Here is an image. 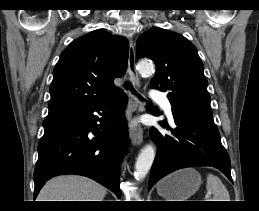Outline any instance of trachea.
I'll return each instance as SVG.
<instances>
[{
    "mask_svg": "<svg viewBox=\"0 0 259 211\" xmlns=\"http://www.w3.org/2000/svg\"><path fill=\"white\" fill-rule=\"evenodd\" d=\"M125 87H126V88H129L131 91H133V93L136 94L135 90L133 89V87H132V85H131L130 83H127V84L125 85Z\"/></svg>",
    "mask_w": 259,
    "mask_h": 211,
    "instance_id": "1",
    "label": "trachea"
}]
</instances>
